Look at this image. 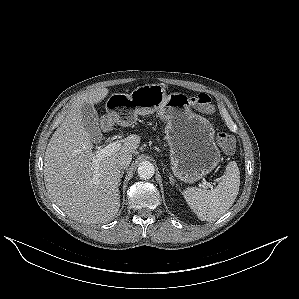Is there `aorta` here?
<instances>
[{
  "label": "aorta",
  "mask_w": 299,
  "mask_h": 299,
  "mask_svg": "<svg viewBox=\"0 0 299 299\" xmlns=\"http://www.w3.org/2000/svg\"><path fill=\"white\" fill-rule=\"evenodd\" d=\"M155 173L154 166L149 161H143L139 164L138 175L142 179H150Z\"/></svg>",
  "instance_id": "obj_1"
}]
</instances>
